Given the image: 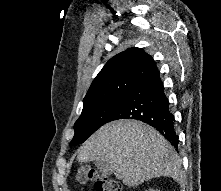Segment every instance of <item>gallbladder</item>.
<instances>
[{
    "label": "gallbladder",
    "mask_w": 221,
    "mask_h": 191,
    "mask_svg": "<svg viewBox=\"0 0 221 191\" xmlns=\"http://www.w3.org/2000/svg\"><path fill=\"white\" fill-rule=\"evenodd\" d=\"M95 166L99 170L100 173L104 175H110L113 173V169L110 163L102 160L95 161Z\"/></svg>",
    "instance_id": "1"
}]
</instances>
